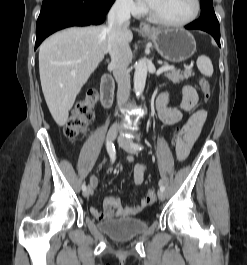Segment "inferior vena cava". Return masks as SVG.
Returning a JSON list of instances; mask_svg holds the SVG:
<instances>
[{"label":"inferior vena cava","instance_id":"1","mask_svg":"<svg viewBox=\"0 0 247 265\" xmlns=\"http://www.w3.org/2000/svg\"><path fill=\"white\" fill-rule=\"evenodd\" d=\"M132 0H116L108 13L107 40L111 57L110 66L118 84L117 102L122 106L129 97L130 74L128 66L132 52L125 33L130 24Z\"/></svg>","mask_w":247,"mask_h":265}]
</instances>
